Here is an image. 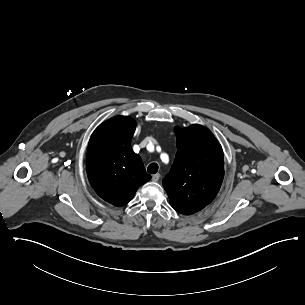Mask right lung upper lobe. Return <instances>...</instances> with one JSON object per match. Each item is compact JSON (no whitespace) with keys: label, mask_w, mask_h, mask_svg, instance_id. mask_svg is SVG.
<instances>
[{"label":"right lung upper lobe","mask_w":305,"mask_h":305,"mask_svg":"<svg viewBox=\"0 0 305 305\" xmlns=\"http://www.w3.org/2000/svg\"><path fill=\"white\" fill-rule=\"evenodd\" d=\"M135 127L131 117H113L96 128L88 145V179L103 200L118 207L127 204L151 179L131 148Z\"/></svg>","instance_id":"1"}]
</instances>
